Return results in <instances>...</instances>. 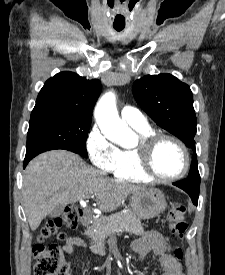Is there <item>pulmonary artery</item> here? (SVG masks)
I'll return each instance as SVG.
<instances>
[{"label": "pulmonary artery", "instance_id": "obj_1", "mask_svg": "<svg viewBox=\"0 0 225 275\" xmlns=\"http://www.w3.org/2000/svg\"><path fill=\"white\" fill-rule=\"evenodd\" d=\"M122 119L134 128H148L149 123L146 117L136 108L125 106L121 110Z\"/></svg>", "mask_w": 225, "mask_h": 275}]
</instances>
